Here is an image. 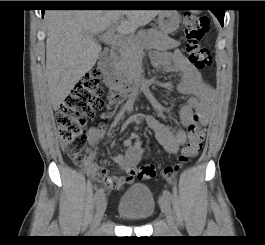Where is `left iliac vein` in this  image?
<instances>
[{
  "label": "left iliac vein",
  "instance_id": "1",
  "mask_svg": "<svg viewBox=\"0 0 265 245\" xmlns=\"http://www.w3.org/2000/svg\"><path fill=\"white\" fill-rule=\"evenodd\" d=\"M159 204H160L162 212L166 216V219H167V222L169 224L170 230L172 232L177 231L176 225H175V222H174L172 208H171L169 200L164 195H162L160 197V199H159Z\"/></svg>",
  "mask_w": 265,
  "mask_h": 245
}]
</instances>
